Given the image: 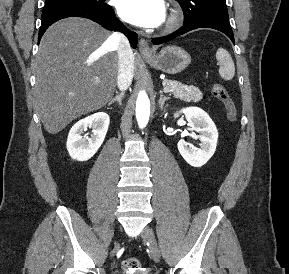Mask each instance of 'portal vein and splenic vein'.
<instances>
[{
	"instance_id": "18ae733b",
	"label": "portal vein and splenic vein",
	"mask_w": 289,
	"mask_h": 274,
	"mask_svg": "<svg viewBox=\"0 0 289 274\" xmlns=\"http://www.w3.org/2000/svg\"><path fill=\"white\" fill-rule=\"evenodd\" d=\"M163 85H164V84H163ZM170 91H172L171 88H169V87H164V92H170Z\"/></svg>"
}]
</instances>
